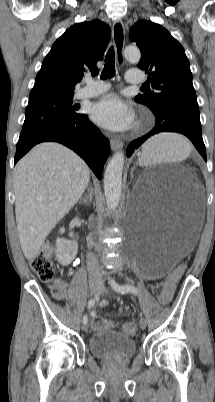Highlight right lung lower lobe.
<instances>
[{
	"label": "right lung lower lobe",
	"instance_id": "right-lung-lower-lobe-1",
	"mask_svg": "<svg viewBox=\"0 0 215 402\" xmlns=\"http://www.w3.org/2000/svg\"><path fill=\"white\" fill-rule=\"evenodd\" d=\"M45 141L59 142L74 150L85 160L95 175L101 178L103 165L110 153V144L90 122L87 115L81 114L73 121L50 128L25 143L17 144L15 163L34 145Z\"/></svg>",
	"mask_w": 215,
	"mask_h": 402
}]
</instances>
